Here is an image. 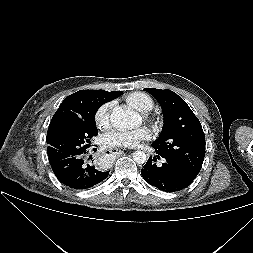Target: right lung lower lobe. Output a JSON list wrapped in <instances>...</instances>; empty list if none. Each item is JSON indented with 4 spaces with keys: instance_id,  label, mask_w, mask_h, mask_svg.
Instances as JSON below:
<instances>
[{
    "instance_id": "98d812e1",
    "label": "right lung lower lobe",
    "mask_w": 253,
    "mask_h": 253,
    "mask_svg": "<svg viewBox=\"0 0 253 253\" xmlns=\"http://www.w3.org/2000/svg\"><path fill=\"white\" fill-rule=\"evenodd\" d=\"M85 152L61 159L49 158L52 170L61 183L73 189H86L108 177L109 171L100 170L92 164L93 161L86 162Z\"/></svg>"
}]
</instances>
